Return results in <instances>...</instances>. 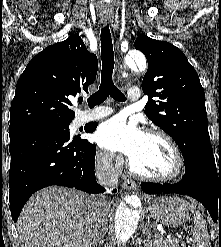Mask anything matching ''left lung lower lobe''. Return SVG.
<instances>
[{
  "mask_svg": "<svg viewBox=\"0 0 221 247\" xmlns=\"http://www.w3.org/2000/svg\"><path fill=\"white\" fill-rule=\"evenodd\" d=\"M185 174L176 184L142 182L147 194L178 193L200 201L214 222L221 223V166H216L211 144L200 146L184 159Z\"/></svg>",
  "mask_w": 221,
  "mask_h": 247,
  "instance_id": "1",
  "label": "left lung lower lobe"
}]
</instances>
